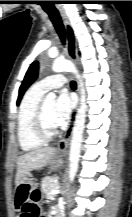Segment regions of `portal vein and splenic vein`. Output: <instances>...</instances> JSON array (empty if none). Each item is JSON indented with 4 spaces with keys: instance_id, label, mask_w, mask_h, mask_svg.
Listing matches in <instances>:
<instances>
[{
    "instance_id": "portal-vein-and-splenic-vein-1",
    "label": "portal vein and splenic vein",
    "mask_w": 132,
    "mask_h": 217,
    "mask_svg": "<svg viewBox=\"0 0 132 217\" xmlns=\"http://www.w3.org/2000/svg\"><path fill=\"white\" fill-rule=\"evenodd\" d=\"M60 193V190L58 188H55L51 191V194L53 195H56V194H59Z\"/></svg>"
}]
</instances>
